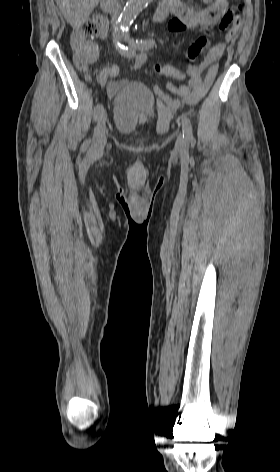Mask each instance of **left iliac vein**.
Listing matches in <instances>:
<instances>
[{
	"mask_svg": "<svg viewBox=\"0 0 280 472\" xmlns=\"http://www.w3.org/2000/svg\"><path fill=\"white\" fill-rule=\"evenodd\" d=\"M186 147H187V141L185 140V138H183L182 134H179L176 140L175 149L177 151L182 152L186 149Z\"/></svg>",
	"mask_w": 280,
	"mask_h": 472,
	"instance_id": "left-iliac-vein-1",
	"label": "left iliac vein"
}]
</instances>
